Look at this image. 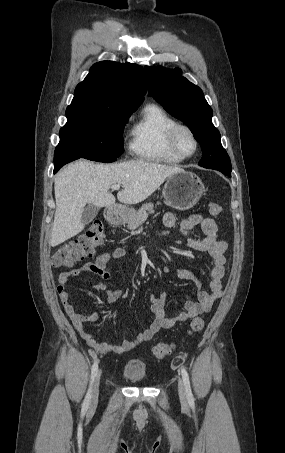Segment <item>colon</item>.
Returning <instances> with one entry per match:
<instances>
[{
    "label": "colon",
    "mask_w": 285,
    "mask_h": 453,
    "mask_svg": "<svg viewBox=\"0 0 285 453\" xmlns=\"http://www.w3.org/2000/svg\"><path fill=\"white\" fill-rule=\"evenodd\" d=\"M208 211L211 216H219L221 207L216 203H210ZM104 226L100 220L93 221L86 231L76 238L64 244L52 256L54 267L71 266L85 258L91 257L95 248L103 242ZM204 319L201 316L195 317L189 327V334L197 333L204 327ZM174 346L168 343H158L152 349V354L157 359H163L171 354Z\"/></svg>",
    "instance_id": "obj_1"
}]
</instances>
